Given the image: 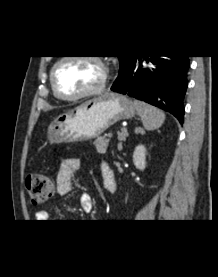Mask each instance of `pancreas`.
I'll list each match as a JSON object with an SVG mask.
<instances>
[{
  "mask_svg": "<svg viewBox=\"0 0 218 277\" xmlns=\"http://www.w3.org/2000/svg\"><path fill=\"white\" fill-rule=\"evenodd\" d=\"M108 144H109V140L105 139L104 137H98L94 141L95 148H96L97 152L100 154L106 153Z\"/></svg>",
  "mask_w": 218,
  "mask_h": 277,
  "instance_id": "1",
  "label": "pancreas"
}]
</instances>
